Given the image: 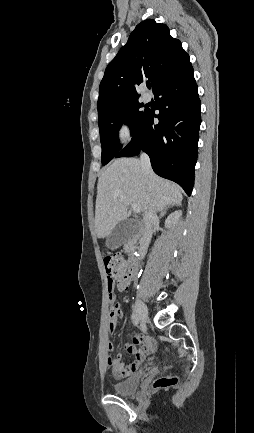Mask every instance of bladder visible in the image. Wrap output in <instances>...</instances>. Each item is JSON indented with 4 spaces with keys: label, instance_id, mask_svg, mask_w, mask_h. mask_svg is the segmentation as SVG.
<instances>
[{
    "label": "bladder",
    "instance_id": "31cf9c89",
    "mask_svg": "<svg viewBox=\"0 0 254 433\" xmlns=\"http://www.w3.org/2000/svg\"><path fill=\"white\" fill-rule=\"evenodd\" d=\"M140 382H141V375L136 374L124 381L114 383L112 385V390L115 394L118 395H122V396L132 395L139 389Z\"/></svg>",
    "mask_w": 254,
    "mask_h": 433
}]
</instances>
